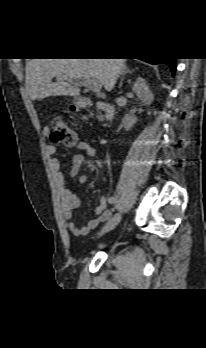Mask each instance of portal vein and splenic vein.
I'll return each mask as SVG.
<instances>
[{
	"label": "portal vein and splenic vein",
	"instance_id": "1",
	"mask_svg": "<svg viewBox=\"0 0 206 348\" xmlns=\"http://www.w3.org/2000/svg\"><path fill=\"white\" fill-rule=\"evenodd\" d=\"M80 84L94 91H99L101 88V83L95 79H85Z\"/></svg>",
	"mask_w": 206,
	"mask_h": 348
}]
</instances>
